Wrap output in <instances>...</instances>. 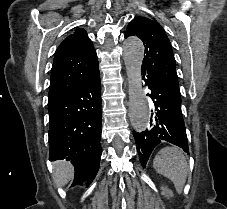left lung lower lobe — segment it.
I'll use <instances>...</instances> for the list:
<instances>
[{"mask_svg": "<svg viewBox=\"0 0 227 209\" xmlns=\"http://www.w3.org/2000/svg\"><path fill=\"white\" fill-rule=\"evenodd\" d=\"M155 107L150 127L139 133L133 131L136 148L143 167L155 146L165 141L182 148L189 154L186 129L181 112V96L159 86L155 81L143 75Z\"/></svg>", "mask_w": 227, "mask_h": 209, "instance_id": "obj_1", "label": "left lung lower lobe"}]
</instances>
